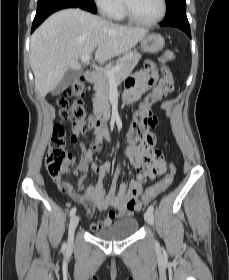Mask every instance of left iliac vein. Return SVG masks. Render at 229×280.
<instances>
[{"label": "left iliac vein", "mask_w": 229, "mask_h": 280, "mask_svg": "<svg viewBox=\"0 0 229 280\" xmlns=\"http://www.w3.org/2000/svg\"><path fill=\"white\" fill-rule=\"evenodd\" d=\"M144 218H145V221L150 225V226H153V223H154V215H153V212L150 211V210H147L144 214Z\"/></svg>", "instance_id": "left-iliac-vein-1"}]
</instances>
